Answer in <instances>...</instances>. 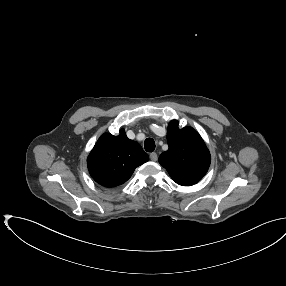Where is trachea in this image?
<instances>
[{"label":"trachea","instance_id":"3493384b","mask_svg":"<svg viewBox=\"0 0 286 286\" xmlns=\"http://www.w3.org/2000/svg\"><path fill=\"white\" fill-rule=\"evenodd\" d=\"M144 148L147 152H153L155 150V142L152 138H147L144 142Z\"/></svg>","mask_w":286,"mask_h":286}]
</instances>
